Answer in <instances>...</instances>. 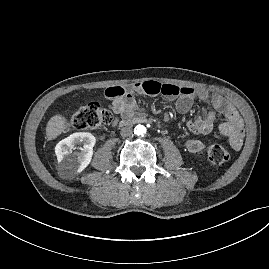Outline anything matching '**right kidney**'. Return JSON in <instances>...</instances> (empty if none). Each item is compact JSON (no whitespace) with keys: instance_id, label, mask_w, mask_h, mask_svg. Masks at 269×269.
Masks as SVG:
<instances>
[{"instance_id":"obj_1","label":"right kidney","mask_w":269,"mask_h":269,"mask_svg":"<svg viewBox=\"0 0 269 269\" xmlns=\"http://www.w3.org/2000/svg\"><path fill=\"white\" fill-rule=\"evenodd\" d=\"M96 138L87 132H77L61 140L55 147L60 166L64 172L83 171L91 162ZM76 144H83L79 152H73Z\"/></svg>"}]
</instances>
